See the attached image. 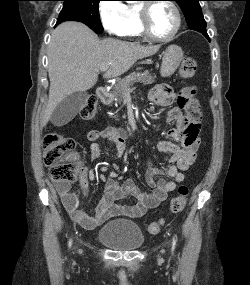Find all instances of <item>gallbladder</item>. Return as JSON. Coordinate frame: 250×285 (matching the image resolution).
Here are the masks:
<instances>
[{
  "label": "gallbladder",
  "mask_w": 250,
  "mask_h": 285,
  "mask_svg": "<svg viewBox=\"0 0 250 285\" xmlns=\"http://www.w3.org/2000/svg\"><path fill=\"white\" fill-rule=\"evenodd\" d=\"M88 94L75 92L62 100L52 113L50 121L55 126L69 123L77 113L86 105Z\"/></svg>",
  "instance_id": "1"
}]
</instances>
